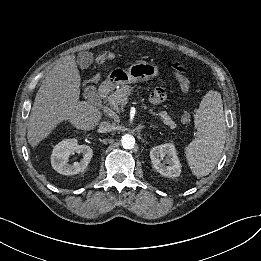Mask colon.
<instances>
[{
    "instance_id": "1",
    "label": "colon",
    "mask_w": 261,
    "mask_h": 261,
    "mask_svg": "<svg viewBox=\"0 0 261 261\" xmlns=\"http://www.w3.org/2000/svg\"><path fill=\"white\" fill-rule=\"evenodd\" d=\"M97 58L102 62H108L111 60V52L109 50H104L101 54L98 55ZM171 68L179 80L185 79L184 75L186 74V68L183 65L176 63L172 64ZM181 88L183 91H187L188 85L183 82L181 84Z\"/></svg>"
}]
</instances>
